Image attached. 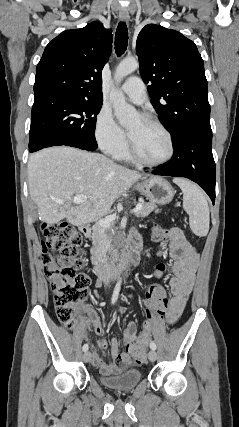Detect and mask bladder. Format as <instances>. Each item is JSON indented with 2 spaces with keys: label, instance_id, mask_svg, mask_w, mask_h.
<instances>
[{
  "label": "bladder",
  "instance_id": "obj_1",
  "mask_svg": "<svg viewBox=\"0 0 239 427\" xmlns=\"http://www.w3.org/2000/svg\"><path fill=\"white\" fill-rule=\"evenodd\" d=\"M142 373L138 369H128L116 375H103L100 382L107 388L113 390H129L139 384Z\"/></svg>",
  "mask_w": 239,
  "mask_h": 427
}]
</instances>
